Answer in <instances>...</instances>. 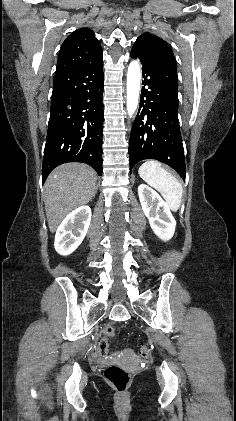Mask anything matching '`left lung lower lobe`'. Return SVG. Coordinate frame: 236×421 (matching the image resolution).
<instances>
[{
	"label": "left lung lower lobe",
	"instance_id": "0a47b994",
	"mask_svg": "<svg viewBox=\"0 0 236 421\" xmlns=\"http://www.w3.org/2000/svg\"><path fill=\"white\" fill-rule=\"evenodd\" d=\"M132 58L142 63L139 110L129 142L130 169L144 159L172 167L185 180L184 148L178 119L177 67L168 57L133 47Z\"/></svg>",
	"mask_w": 236,
	"mask_h": 421
}]
</instances>
